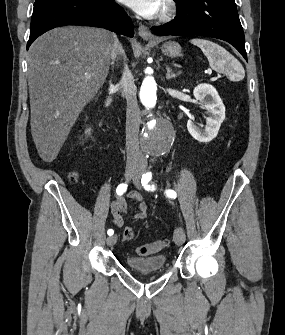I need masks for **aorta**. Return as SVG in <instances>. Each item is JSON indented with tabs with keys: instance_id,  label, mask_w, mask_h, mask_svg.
Returning <instances> with one entry per match:
<instances>
[{
	"instance_id": "aorta-1",
	"label": "aorta",
	"mask_w": 285,
	"mask_h": 335,
	"mask_svg": "<svg viewBox=\"0 0 285 335\" xmlns=\"http://www.w3.org/2000/svg\"><path fill=\"white\" fill-rule=\"evenodd\" d=\"M135 96L140 97L147 112H158L160 102H165V95H160L152 76L144 78L140 90L135 91ZM139 137L143 152H148L149 156H160L161 152H170L176 130H173V125H169L168 119H149L148 125L140 127Z\"/></svg>"
}]
</instances>
